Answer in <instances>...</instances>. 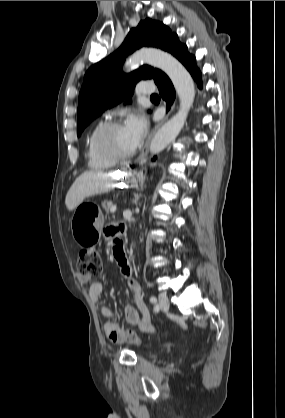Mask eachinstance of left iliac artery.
Instances as JSON below:
<instances>
[{
	"label": "left iliac artery",
	"mask_w": 285,
	"mask_h": 418,
	"mask_svg": "<svg viewBox=\"0 0 285 418\" xmlns=\"http://www.w3.org/2000/svg\"><path fill=\"white\" fill-rule=\"evenodd\" d=\"M150 302H151V303H156V302H157L156 297L151 296V297H150Z\"/></svg>",
	"instance_id": "44dca946"
}]
</instances>
